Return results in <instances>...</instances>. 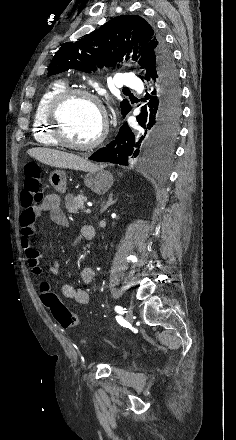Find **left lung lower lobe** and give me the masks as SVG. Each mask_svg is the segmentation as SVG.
<instances>
[{
  "instance_id": "1",
  "label": "left lung lower lobe",
  "mask_w": 236,
  "mask_h": 440,
  "mask_svg": "<svg viewBox=\"0 0 236 440\" xmlns=\"http://www.w3.org/2000/svg\"><path fill=\"white\" fill-rule=\"evenodd\" d=\"M144 79L151 91L141 99V113L136 117L138 128L125 122L115 140L96 151L90 160L128 165L137 156L163 154L178 133L181 118V90L173 57L171 61L150 63ZM131 110L123 114L125 115Z\"/></svg>"
}]
</instances>
